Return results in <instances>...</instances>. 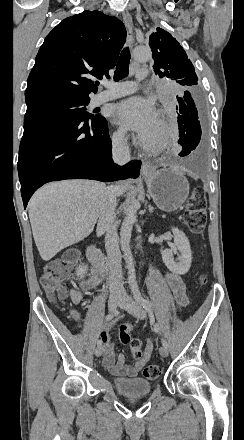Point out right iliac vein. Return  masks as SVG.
I'll list each match as a JSON object with an SVG mask.
<instances>
[{
    "label": "right iliac vein",
    "instance_id": "1",
    "mask_svg": "<svg viewBox=\"0 0 244 440\" xmlns=\"http://www.w3.org/2000/svg\"><path fill=\"white\" fill-rule=\"evenodd\" d=\"M120 302H121V299L117 295H115V294L110 295L109 298H108L109 310L111 312H113L116 309V307L118 305H120ZM103 352H104V346L103 345H99V346H97V348L95 350V355L97 357H100L103 354Z\"/></svg>",
    "mask_w": 244,
    "mask_h": 440
}]
</instances>
